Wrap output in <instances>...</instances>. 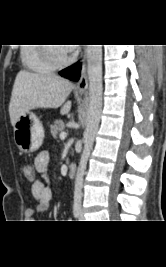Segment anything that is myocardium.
<instances>
[{
  "label": "myocardium",
  "instance_id": "f54148a6",
  "mask_svg": "<svg viewBox=\"0 0 166 267\" xmlns=\"http://www.w3.org/2000/svg\"><path fill=\"white\" fill-rule=\"evenodd\" d=\"M42 49L46 60L56 68L67 66L73 61V56L68 53L60 57L55 46H52V44H44Z\"/></svg>",
  "mask_w": 166,
  "mask_h": 267
}]
</instances>
